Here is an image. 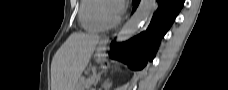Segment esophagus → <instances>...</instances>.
<instances>
[{"label":"esophagus","mask_w":228,"mask_h":90,"mask_svg":"<svg viewBox=\"0 0 228 90\" xmlns=\"http://www.w3.org/2000/svg\"><path fill=\"white\" fill-rule=\"evenodd\" d=\"M108 40H109V38H108V37H106V38H105V41H108Z\"/></svg>","instance_id":"obj_1"}]
</instances>
